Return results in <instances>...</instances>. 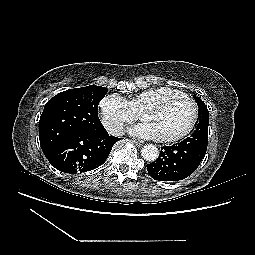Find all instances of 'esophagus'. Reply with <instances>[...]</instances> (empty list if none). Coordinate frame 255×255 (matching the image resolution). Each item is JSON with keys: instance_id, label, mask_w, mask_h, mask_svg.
Here are the masks:
<instances>
[{"instance_id": "1", "label": "esophagus", "mask_w": 255, "mask_h": 255, "mask_svg": "<svg viewBox=\"0 0 255 255\" xmlns=\"http://www.w3.org/2000/svg\"><path fill=\"white\" fill-rule=\"evenodd\" d=\"M131 141L138 147L142 146L143 144L140 141H137L135 139H131Z\"/></svg>"}]
</instances>
